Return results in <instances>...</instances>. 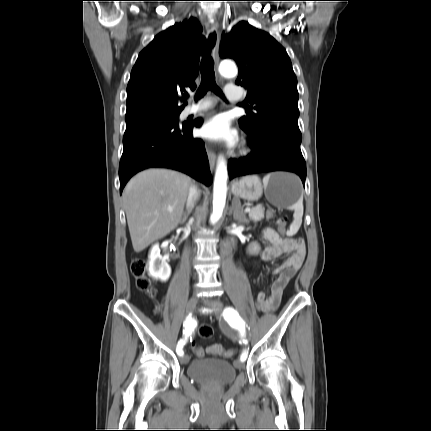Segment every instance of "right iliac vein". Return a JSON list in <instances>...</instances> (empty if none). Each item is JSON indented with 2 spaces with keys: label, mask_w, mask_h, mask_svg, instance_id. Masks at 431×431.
Returning <instances> with one entry per match:
<instances>
[{
  "label": "right iliac vein",
  "mask_w": 431,
  "mask_h": 431,
  "mask_svg": "<svg viewBox=\"0 0 431 431\" xmlns=\"http://www.w3.org/2000/svg\"><path fill=\"white\" fill-rule=\"evenodd\" d=\"M198 296L197 295H193L187 302L186 305V315L190 314L193 312V310L196 308V305L198 303ZM182 364H187L189 362V356L188 355H184L181 357L180 359Z\"/></svg>",
  "instance_id": "1"
}]
</instances>
